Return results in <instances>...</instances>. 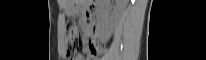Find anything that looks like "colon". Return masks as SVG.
Here are the masks:
<instances>
[{"label": "colon", "mask_w": 206, "mask_h": 60, "mask_svg": "<svg viewBox=\"0 0 206 60\" xmlns=\"http://www.w3.org/2000/svg\"><path fill=\"white\" fill-rule=\"evenodd\" d=\"M68 39L67 57L69 60H75L82 48V41L78 34V28L75 22H68L66 25Z\"/></svg>", "instance_id": "colon-1"}]
</instances>
